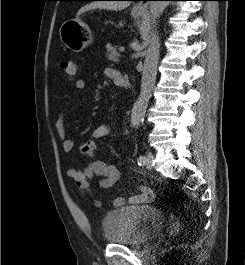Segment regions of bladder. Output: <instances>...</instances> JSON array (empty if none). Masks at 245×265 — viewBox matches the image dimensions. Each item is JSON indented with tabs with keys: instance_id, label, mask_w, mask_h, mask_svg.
<instances>
[{
	"instance_id": "31cf9c89",
	"label": "bladder",
	"mask_w": 245,
	"mask_h": 265,
	"mask_svg": "<svg viewBox=\"0 0 245 265\" xmlns=\"http://www.w3.org/2000/svg\"><path fill=\"white\" fill-rule=\"evenodd\" d=\"M165 220V215L154 206H125L105 215L102 235L111 244L140 246L155 237Z\"/></svg>"
}]
</instances>
